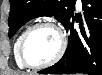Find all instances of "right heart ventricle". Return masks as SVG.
Here are the masks:
<instances>
[{"label":"right heart ventricle","instance_id":"obj_1","mask_svg":"<svg viewBox=\"0 0 102 75\" xmlns=\"http://www.w3.org/2000/svg\"><path fill=\"white\" fill-rule=\"evenodd\" d=\"M31 25H27L25 26L16 36L15 41H14V58L15 61L17 63V65L19 67H23L24 66V62L22 61L21 57H20V52H19V47H20V41L23 37V35L25 34V32L29 29Z\"/></svg>","mask_w":102,"mask_h":75}]
</instances>
